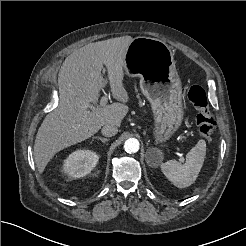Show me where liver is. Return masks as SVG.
Returning <instances> with one entry per match:
<instances>
[{"mask_svg":"<svg viewBox=\"0 0 246 246\" xmlns=\"http://www.w3.org/2000/svg\"><path fill=\"white\" fill-rule=\"evenodd\" d=\"M132 40L131 36H122L89 43L65 59L58 74L59 104L44 118L34 143V160L40 173L60 150L90 138L104 125L120 127L129 110L123 69ZM103 65L106 78L101 73ZM107 83L119 102L88 108L98 102Z\"/></svg>","mask_w":246,"mask_h":246,"instance_id":"6515ba94","label":"liver"}]
</instances>
